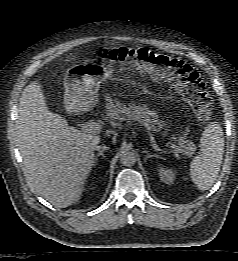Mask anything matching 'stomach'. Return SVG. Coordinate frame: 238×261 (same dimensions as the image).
<instances>
[{
  "instance_id": "stomach-1",
  "label": "stomach",
  "mask_w": 238,
  "mask_h": 261,
  "mask_svg": "<svg viewBox=\"0 0 238 261\" xmlns=\"http://www.w3.org/2000/svg\"><path fill=\"white\" fill-rule=\"evenodd\" d=\"M112 69L94 65L70 67L64 75V103L72 112H84L95 107L100 84L112 76Z\"/></svg>"
}]
</instances>
